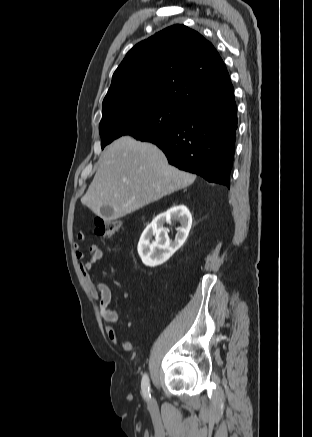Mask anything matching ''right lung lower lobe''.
<instances>
[{"label": "right lung lower lobe", "mask_w": 312, "mask_h": 437, "mask_svg": "<svg viewBox=\"0 0 312 437\" xmlns=\"http://www.w3.org/2000/svg\"><path fill=\"white\" fill-rule=\"evenodd\" d=\"M237 107L233 85L190 109L175 128L145 141L163 150L170 164L230 187Z\"/></svg>", "instance_id": "98d812e1"}]
</instances>
